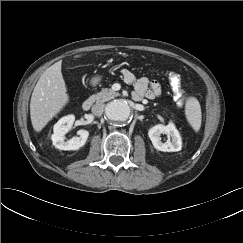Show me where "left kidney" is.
I'll return each instance as SVG.
<instances>
[{"mask_svg":"<svg viewBox=\"0 0 243 243\" xmlns=\"http://www.w3.org/2000/svg\"><path fill=\"white\" fill-rule=\"evenodd\" d=\"M161 134H166L168 137V140L165 143L161 141ZM148 135L153 146L160 151L176 152L181 150V137L172 122L167 126L162 124L155 125L149 130Z\"/></svg>","mask_w":243,"mask_h":243,"instance_id":"left-kidney-1","label":"left kidney"}]
</instances>
